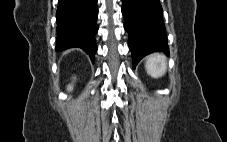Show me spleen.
<instances>
[{
	"instance_id": "obj_1",
	"label": "spleen",
	"mask_w": 227,
	"mask_h": 142,
	"mask_svg": "<svg viewBox=\"0 0 227 142\" xmlns=\"http://www.w3.org/2000/svg\"><path fill=\"white\" fill-rule=\"evenodd\" d=\"M145 68L153 78H159L166 72L167 63L165 56L161 53H154L146 58Z\"/></svg>"
}]
</instances>
